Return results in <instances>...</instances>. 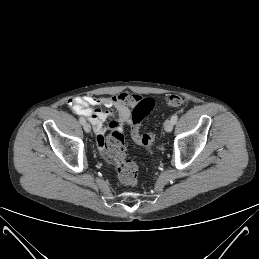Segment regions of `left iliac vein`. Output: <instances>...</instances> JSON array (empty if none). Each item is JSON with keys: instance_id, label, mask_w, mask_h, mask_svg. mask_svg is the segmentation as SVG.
<instances>
[{"instance_id": "1", "label": "left iliac vein", "mask_w": 259, "mask_h": 259, "mask_svg": "<svg viewBox=\"0 0 259 259\" xmlns=\"http://www.w3.org/2000/svg\"><path fill=\"white\" fill-rule=\"evenodd\" d=\"M173 125H174V123L171 120L167 119L164 122V129H165V131L166 132H171L172 129H173Z\"/></svg>"}]
</instances>
